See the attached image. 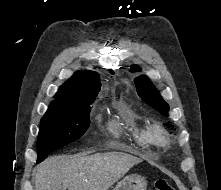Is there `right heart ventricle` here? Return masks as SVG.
Here are the masks:
<instances>
[{
    "instance_id": "right-heart-ventricle-1",
    "label": "right heart ventricle",
    "mask_w": 221,
    "mask_h": 190,
    "mask_svg": "<svg viewBox=\"0 0 221 190\" xmlns=\"http://www.w3.org/2000/svg\"><path fill=\"white\" fill-rule=\"evenodd\" d=\"M147 128V124L128 106L120 108L108 122V131L114 139L129 140L145 150L152 147Z\"/></svg>"
}]
</instances>
